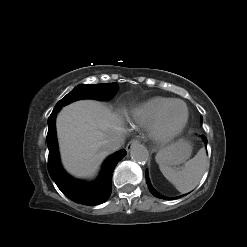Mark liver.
<instances>
[{
	"label": "liver",
	"instance_id": "6515ba94",
	"mask_svg": "<svg viewBox=\"0 0 247 247\" xmlns=\"http://www.w3.org/2000/svg\"><path fill=\"white\" fill-rule=\"evenodd\" d=\"M56 129L64 168L77 178H92L109 154L106 144L125 132L121 118L94 100L65 106Z\"/></svg>",
	"mask_w": 247,
	"mask_h": 247
}]
</instances>
